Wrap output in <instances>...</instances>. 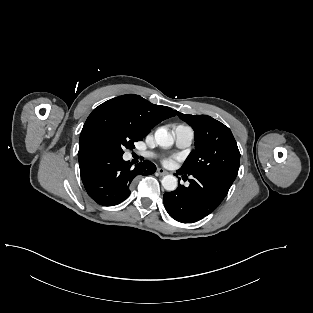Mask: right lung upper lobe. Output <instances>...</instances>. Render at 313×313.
<instances>
[{
	"instance_id": "right-lung-upper-lobe-1",
	"label": "right lung upper lobe",
	"mask_w": 313,
	"mask_h": 313,
	"mask_svg": "<svg viewBox=\"0 0 313 313\" xmlns=\"http://www.w3.org/2000/svg\"><path fill=\"white\" fill-rule=\"evenodd\" d=\"M175 115L171 108L154 105L134 94L110 99L95 108L87 118L80 134L78 158L98 152L99 131L111 118L128 121L146 136L155 125Z\"/></svg>"
}]
</instances>
